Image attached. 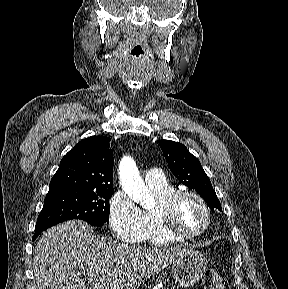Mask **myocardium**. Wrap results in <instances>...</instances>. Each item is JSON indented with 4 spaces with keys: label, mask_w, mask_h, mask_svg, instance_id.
<instances>
[{
    "label": "myocardium",
    "mask_w": 288,
    "mask_h": 289,
    "mask_svg": "<svg viewBox=\"0 0 288 289\" xmlns=\"http://www.w3.org/2000/svg\"><path fill=\"white\" fill-rule=\"evenodd\" d=\"M184 197H192L196 199L204 211V225L202 228L193 233L181 231L174 219V210L178 201ZM156 213L162 229L174 238L179 240L196 239L205 234L211 224V212L205 199L193 190H174L173 192L162 197L156 206Z\"/></svg>",
    "instance_id": "myocardium-1"
}]
</instances>
